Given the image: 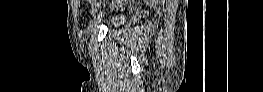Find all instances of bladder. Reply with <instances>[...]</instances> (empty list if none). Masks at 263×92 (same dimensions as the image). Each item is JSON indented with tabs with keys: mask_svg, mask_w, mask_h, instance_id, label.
<instances>
[{
	"mask_svg": "<svg viewBox=\"0 0 263 92\" xmlns=\"http://www.w3.org/2000/svg\"><path fill=\"white\" fill-rule=\"evenodd\" d=\"M127 20H128L127 15L122 12L112 13L107 18V21L111 27L124 25L127 22Z\"/></svg>",
	"mask_w": 263,
	"mask_h": 92,
	"instance_id": "1",
	"label": "bladder"
}]
</instances>
